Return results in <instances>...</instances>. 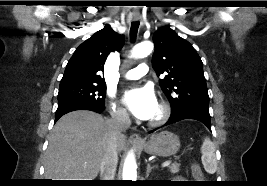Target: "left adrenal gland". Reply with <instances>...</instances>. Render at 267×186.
Returning a JSON list of instances; mask_svg holds the SVG:
<instances>
[{
	"label": "left adrenal gland",
	"mask_w": 267,
	"mask_h": 186,
	"mask_svg": "<svg viewBox=\"0 0 267 186\" xmlns=\"http://www.w3.org/2000/svg\"><path fill=\"white\" fill-rule=\"evenodd\" d=\"M154 169L153 166L150 165V163L147 164V171H146V178L149 177L150 172Z\"/></svg>",
	"instance_id": "1"
}]
</instances>
